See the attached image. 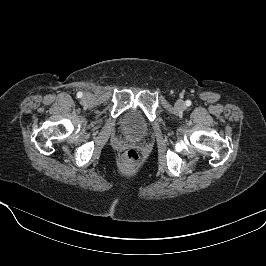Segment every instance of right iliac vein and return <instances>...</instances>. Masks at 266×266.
<instances>
[{
	"label": "right iliac vein",
	"instance_id": "1",
	"mask_svg": "<svg viewBox=\"0 0 266 266\" xmlns=\"http://www.w3.org/2000/svg\"><path fill=\"white\" fill-rule=\"evenodd\" d=\"M85 98H86V99H88V98H89V96H88V95H85Z\"/></svg>",
	"mask_w": 266,
	"mask_h": 266
}]
</instances>
